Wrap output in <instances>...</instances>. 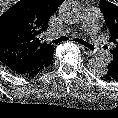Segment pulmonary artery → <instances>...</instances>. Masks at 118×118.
<instances>
[{
    "label": "pulmonary artery",
    "instance_id": "e3ab8cb5",
    "mask_svg": "<svg viewBox=\"0 0 118 118\" xmlns=\"http://www.w3.org/2000/svg\"><path fill=\"white\" fill-rule=\"evenodd\" d=\"M100 19V11L96 7H89L83 14V27L91 35V41L95 44L99 42V38L93 36Z\"/></svg>",
    "mask_w": 118,
    "mask_h": 118
}]
</instances>
